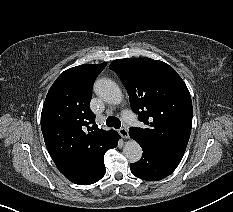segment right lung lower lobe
<instances>
[{"label":"right lung lower lobe","instance_id":"98d812e1","mask_svg":"<svg viewBox=\"0 0 233 212\" xmlns=\"http://www.w3.org/2000/svg\"><path fill=\"white\" fill-rule=\"evenodd\" d=\"M119 138L120 136L116 132H114L111 138L108 140L107 145L105 146V149L101 155L97 170L94 173L93 177L89 179L87 182L83 183L82 185L93 184L97 182L98 180H100L105 175L106 169H105L104 160H103L104 154L108 149L114 148L117 146Z\"/></svg>","mask_w":233,"mask_h":212}]
</instances>
